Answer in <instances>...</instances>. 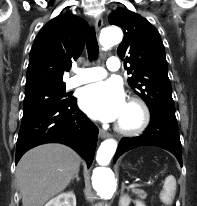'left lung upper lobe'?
<instances>
[{
    "label": "left lung upper lobe",
    "mask_w": 197,
    "mask_h": 206,
    "mask_svg": "<svg viewBox=\"0 0 197 206\" xmlns=\"http://www.w3.org/2000/svg\"><path fill=\"white\" fill-rule=\"evenodd\" d=\"M108 20L124 31L117 54L125 60L127 73L132 74L129 85L146 102L151 114L164 112L175 116L165 49L157 29L128 9L113 11Z\"/></svg>",
    "instance_id": "left-lung-upper-lobe-1"
}]
</instances>
